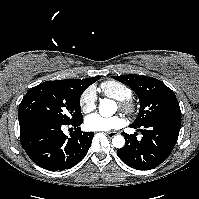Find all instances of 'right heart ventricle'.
<instances>
[{"mask_svg":"<svg viewBox=\"0 0 199 199\" xmlns=\"http://www.w3.org/2000/svg\"><path fill=\"white\" fill-rule=\"evenodd\" d=\"M101 89L106 96L118 101L129 99L133 94L128 85L118 81H107L101 85Z\"/></svg>","mask_w":199,"mask_h":199,"instance_id":"obj_1","label":"right heart ventricle"}]
</instances>
